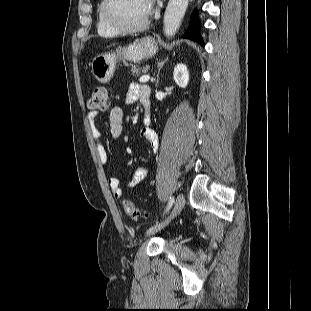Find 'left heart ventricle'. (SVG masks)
<instances>
[{
  "label": "left heart ventricle",
  "instance_id": "left-heart-ventricle-1",
  "mask_svg": "<svg viewBox=\"0 0 311 311\" xmlns=\"http://www.w3.org/2000/svg\"><path fill=\"white\" fill-rule=\"evenodd\" d=\"M113 13L126 26L140 25L149 16L145 0H116Z\"/></svg>",
  "mask_w": 311,
  "mask_h": 311
}]
</instances>
